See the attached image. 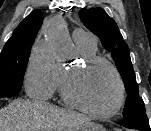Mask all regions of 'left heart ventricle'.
Masks as SVG:
<instances>
[{
  "instance_id": "1",
  "label": "left heart ventricle",
  "mask_w": 151,
  "mask_h": 131,
  "mask_svg": "<svg viewBox=\"0 0 151 131\" xmlns=\"http://www.w3.org/2000/svg\"><path fill=\"white\" fill-rule=\"evenodd\" d=\"M72 86L78 98L95 111L107 112L116 104L117 83L112 72L103 64L85 70Z\"/></svg>"
}]
</instances>
